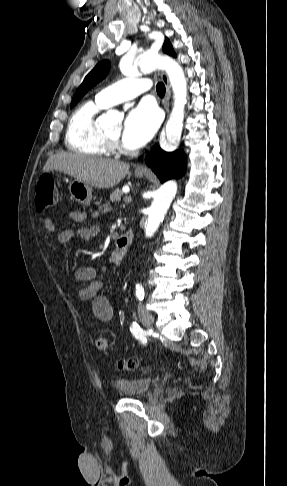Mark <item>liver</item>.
Instances as JSON below:
<instances>
[{"mask_svg":"<svg viewBox=\"0 0 287 486\" xmlns=\"http://www.w3.org/2000/svg\"><path fill=\"white\" fill-rule=\"evenodd\" d=\"M130 165L118 160L84 156L77 153H58L50 156L43 172L60 171L91 186L104 189L118 184Z\"/></svg>","mask_w":287,"mask_h":486,"instance_id":"obj_1","label":"liver"}]
</instances>
